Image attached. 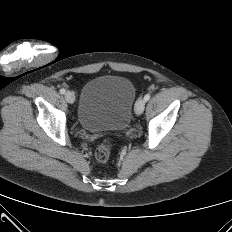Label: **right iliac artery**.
Instances as JSON below:
<instances>
[{"instance_id":"82829eb1","label":"right iliac artery","mask_w":232,"mask_h":232,"mask_svg":"<svg viewBox=\"0 0 232 232\" xmlns=\"http://www.w3.org/2000/svg\"><path fill=\"white\" fill-rule=\"evenodd\" d=\"M66 90L64 88L60 89L61 94H65Z\"/></svg>"}]
</instances>
